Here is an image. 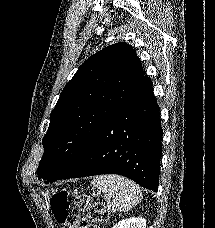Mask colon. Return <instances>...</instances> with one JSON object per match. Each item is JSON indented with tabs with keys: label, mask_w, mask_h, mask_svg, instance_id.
<instances>
[{
	"label": "colon",
	"mask_w": 215,
	"mask_h": 228,
	"mask_svg": "<svg viewBox=\"0 0 215 228\" xmlns=\"http://www.w3.org/2000/svg\"><path fill=\"white\" fill-rule=\"evenodd\" d=\"M51 209L56 221L64 228H100L108 220V208L102 201L80 195L73 200L66 192L51 197ZM87 212L89 220L80 218V212Z\"/></svg>",
	"instance_id": "5ec220e1"
}]
</instances>
